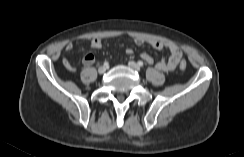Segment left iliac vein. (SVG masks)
Wrapping results in <instances>:
<instances>
[{
	"mask_svg": "<svg viewBox=\"0 0 244 157\" xmlns=\"http://www.w3.org/2000/svg\"><path fill=\"white\" fill-rule=\"evenodd\" d=\"M128 66L136 71H140V68L138 67V65L134 62V61H129L128 62Z\"/></svg>",
	"mask_w": 244,
	"mask_h": 157,
	"instance_id": "4c4485c4",
	"label": "left iliac vein"
}]
</instances>
